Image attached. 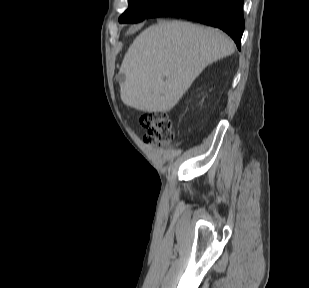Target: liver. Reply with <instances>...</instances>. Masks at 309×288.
Masks as SVG:
<instances>
[{
  "label": "liver",
  "instance_id": "1",
  "mask_svg": "<svg viewBox=\"0 0 309 288\" xmlns=\"http://www.w3.org/2000/svg\"><path fill=\"white\" fill-rule=\"evenodd\" d=\"M234 51L219 29L161 21L140 33L126 52L119 71L121 99L139 111H170L209 64Z\"/></svg>",
  "mask_w": 309,
  "mask_h": 288
}]
</instances>
